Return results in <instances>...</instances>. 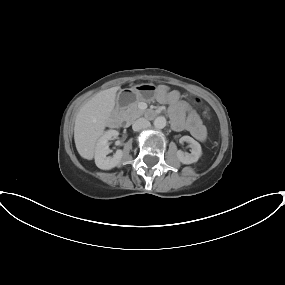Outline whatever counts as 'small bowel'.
<instances>
[{
	"instance_id": "obj_1",
	"label": "small bowel",
	"mask_w": 285,
	"mask_h": 285,
	"mask_svg": "<svg viewBox=\"0 0 285 285\" xmlns=\"http://www.w3.org/2000/svg\"><path fill=\"white\" fill-rule=\"evenodd\" d=\"M156 98L160 103L169 104V113L173 121V126L177 130H187L198 141H205L206 130L199 117L189 110L188 105L181 100L178 91L169 90L165 86H160L156 93Z\"/></svg>"
}]
</instances>
